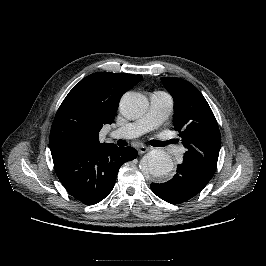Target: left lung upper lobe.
<instances>
[{
    "label": "left lung upper lobe",
    "instance_id": "obj_1",
    "mask_svg": "<svg viewBox=\"0 0 266 266\" xmlns=\"http://www.w3.org/2000/svg\"><path fill=\"white\" fill-rule=\"evenodd\" d=\"M162 83L174 99V128L187 148L183 161L214 174L221 147L216 118L201 94L190 82L162 77Z\"/></svg>",
    "mask_w": 266,
    "mask_h": 266
}]
</instances>
